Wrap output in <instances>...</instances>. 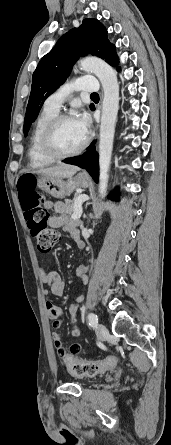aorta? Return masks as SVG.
Returning <instances> with one entry per match:
<instances>
[{
	"label": "aorta",
	"instance_id": "1",
	"mask_svg": "<svg viewBox=\"0 0 171 445\" xmlns=\"http://www.w3.org/2000/svg\"><path fill=\"white\" fill-rule=\"evenodd\" d=\"M80 69L94 73L99 78L104 91L99 135V194L103 197L107 192L119 109V83L116 72L101 59L85 58L80 61Z\"/></svg>",
	"mask_w": 171,
	"mask_h": 445
}]
</instances>
